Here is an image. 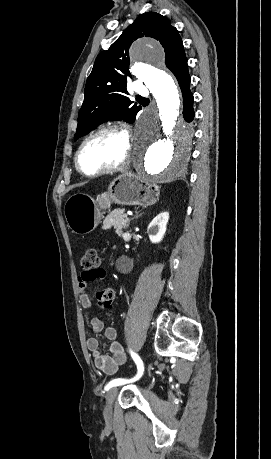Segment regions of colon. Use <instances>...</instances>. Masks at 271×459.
<instances>
[{
  "label": "colon",
  "instance_id": "1",
  "mask_svg": "<svg viewBox=\"0 0 271 459\" xmlns=\"http://www.w3.org/2000/svg\"><path fill=\"white\" fill-rule=\"evenodd\" d=\"M81 268L85 272L93 271L100 268L101 260L96 249L88 248L83 254ZM114 300V291L110 288L103 289L96 294V306L100 310H106L111 307Z\"/></svg>",
  "mask_w": 271,
  "mask_h": 459
}]
</instances>
